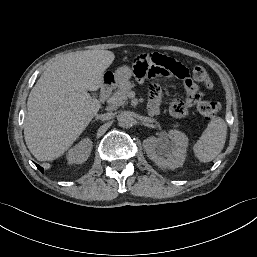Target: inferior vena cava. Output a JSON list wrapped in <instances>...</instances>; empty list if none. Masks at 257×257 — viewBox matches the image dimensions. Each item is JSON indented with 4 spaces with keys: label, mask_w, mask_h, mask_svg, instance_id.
<instances>
[{
    "label": "inferior vena cava",
    "mask_w": 257,
    "mask_h": 257,
    "mask_svg": "<svg viewBox=\"0 0 257 257\" xmlns=\"http://www.w3.org/2000/svg\"><path fill=\"white\" fill-rule=\"evenodd\" d=\"M112 117H113L112 113H104V114L96 115V118L100 120H109Z\"/></svg>",
    "instance_id": "inferior-vena-cava-1"
}]
</instances>
